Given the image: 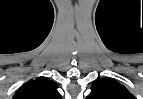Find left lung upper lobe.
<instances>
[{
  "label": "left lung upper lobe",
  "instance_id": "obj_1",
  "mask_svg": "<svg viewBox=\"0 0 143 99\" xmlns=\"http://www.w3.org/2000/svg\"><path fill=\"white\" fill-rule=\"evenodd\" d=\"M87 99H136L128 89L111 78H101L91 86Z\"/></svg>",
  "mask_w": 143,
  "mask_h": 99
}]
</instances>
